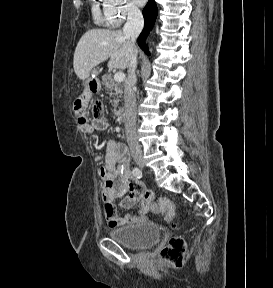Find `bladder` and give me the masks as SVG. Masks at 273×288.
Wrapping results in <instances>:
<instances>
[{"instance_id": "obj_1", "label": "bladder", "mask_w": 273, "mask_h": 288, "mask_svg": "<svg viewBox=\"0 0 273 288\" xmlns=\"http://www.w3.org/2000/svg\"><path fill=\"white\" fill-rule=\"evenodd\" d=\"M115 242L132 250L151 248L161 238L159 227L152 222H142L118 227L109 232Z\"/></svg>"}]
</instances>
